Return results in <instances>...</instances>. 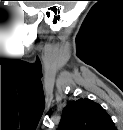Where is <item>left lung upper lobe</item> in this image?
I'll list each match as a JSON object with an SVG mask.
<instances>
[{
	"instance_id": "obj_1",
	"label": "left lung upper lobe",
	"mask_w": 123,
	"mask_h": 130,
	"mask_svg": "<svg viewBox=\"0 0 123 130\" xmlns=\"http://www.w3.org/2000/svg\"><path fill=\"white\" fill-rule=\"evenodd\" d=\"M64 116L69 130H100L109 123L102 108L88 99L69 102Z\"/></svg>"
}]
</instances>
